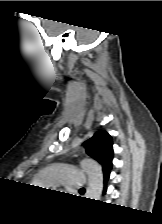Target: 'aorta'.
I'll return each instance as SVG.
<instances>
[{
	"instance_id": "1",
	"label": "aorta",
	"mask_w": 162,
	"mask_h": 224,
	"mask_svg": "<svg viewBox=\"0 0 162 224\" xmlns=\"http://www.w3.org/2000/svg\"><path fill=\"white\" fill-rule=\"evenodd\" d=\"M80 165L88 176L86 198L99 200L103 189V173L101 166L92 159H83Z\"/></svg>"
}]
</instances>
